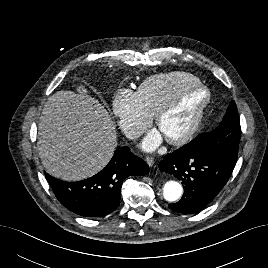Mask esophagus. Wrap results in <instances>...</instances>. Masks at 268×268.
Here are the masks:
<instances>
[{"instance_id":"esophagus-1","label":"esophagus","mask_w":268,"mask_h":268,"mask_svg":"<svg viewBox=\"0 0 268 268\" xmlns=\"http://www.w3.org/2000/svg\"><path fill=\"white\" fill-rule=\"evenodd\" d=\"M145 161H146V163L148 164L149 167H152L154 165V163H155L154 158L151 157V156H147L145 158Z\"/></svg>"}]
</instances>
